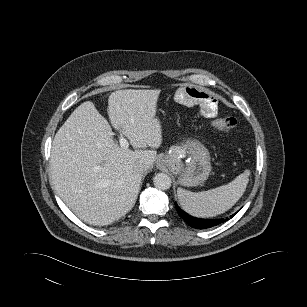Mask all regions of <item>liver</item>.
Instances as JSON below:
<instances>
[{
    "label": "liver",
    "instance_id": "1",
    "mask_svg": "<svg viewBox=\"0 0 307 307\" xmlns=\"http://www.w3.org/2000/svg\"><path fill=\"white\" fill-rule=\"evenodd\" d=\"M161 90H118L108 98L113 127L127 137L132 151L119 146L111 126L91 101L78 106L52 142L50 170L55 190L69 209L84 222L108 225L134 206L141 173L155 162L162 143L156 117ZM147 147L153 149H146Z\"/></svg>",
    "mask_w": 307,
    "mask_h": 307
}]
</instances>
